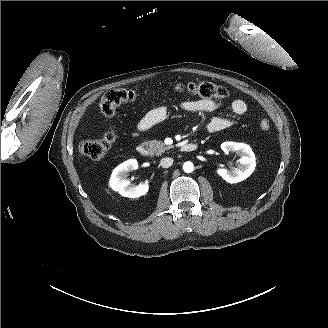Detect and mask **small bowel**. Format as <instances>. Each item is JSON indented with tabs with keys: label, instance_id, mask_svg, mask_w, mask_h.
Returning <instances> with one entry per match:
<instances>
[{
	"label": "small bowel",
	"instance_id": "1",
	"mask_svg": "<svg viewBox=\"0 0 328 328\" xmlns=\"http://www.w3.org/2000/svg\"><path fill=\"white\" fill-rule=\"evenodd\" d=\"M219 104L216 101L208 99L191 100L182 102L179 109L192 113H206L216 109ZM231 109L236 115H243L247 111V105L242 99H234L231 102ZM169 109L165 106H160L150 110L137 123L139 131H146L156 124L167 118ZM233 125L230 119L224 117L212 118L208 124L207 129L211 133H216L225 130Z\"/></svg>",
	"mask_w": 328,
	"mask_h": 328
}]
</instances>
